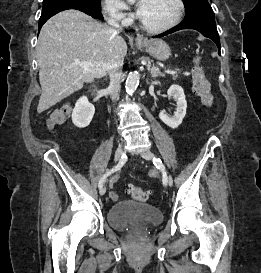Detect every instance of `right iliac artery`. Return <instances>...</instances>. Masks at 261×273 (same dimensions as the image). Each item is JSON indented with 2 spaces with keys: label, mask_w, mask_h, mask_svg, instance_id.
I'll use <instances>...</instances> for the list:
<instances>
[{
  "label": "right iliac artery",
  "mask_w": 261,
  "mask_h": 273,
  "mask_svg": "<svg viewBox=\"0 0 261 273\" xmlns=\"http://www.w3.org/2000/svg\"><path fill=\"white\" fill-rule=\"evenodd\" d=\"M126 160H127V156H126L125 154H123L122 157H121V159H120V161H119V163H118L115 167H113L111 170L107 171V172L101 177V179H100V181H99V184H98V187H99V188H102L103 185H104V182H105L106 178H107L111 173H114V172L120 170V169L123 167V165L125 164Z\"/></svg>",
  "instance_id": "obj_1"
}]
</instances>
